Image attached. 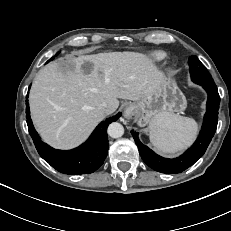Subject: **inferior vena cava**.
Wrapping results in <instances>:
<instances>
[{
  "label": "inferior vena cava",
  "instance_id": "obj_1",
  "mask_svg": "<svg viewBox=\"0 0 231 231\" xmlns=\"http://www.w3.org/2000/svg\"><path fill=\"white\" fill-rule=\"evenodd\" d=\"M100 110H102L104 113H106V114H109V113H111V110H110V108H109V106H108V104L107 103H102L101 105H100Z\"/></svg>",
  "mask_w": 231,
  "mask_h": 231
}]
</instances>
